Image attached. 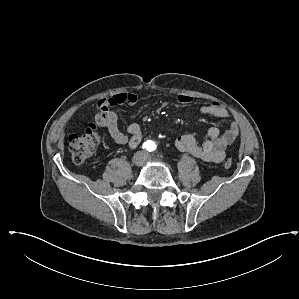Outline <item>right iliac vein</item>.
<instances>
[{
  "label": "right iliac vein",
  "instance_id": "right-iliac-vein-1",
  "mask_svg": "<svg viewBox=\"0 0 299 299\" xmlns=\"http://www.w3.org/2000/svg\"><path fill=\"white\" fill-rule=\"evenodd\" d=\"M140 161H141V158H140V156H137V157L135 158V163H136V164H139V163H140Z\"/></svg>",
  "mask_w": 299,
  "mask_h": 299
}]
</instances>
